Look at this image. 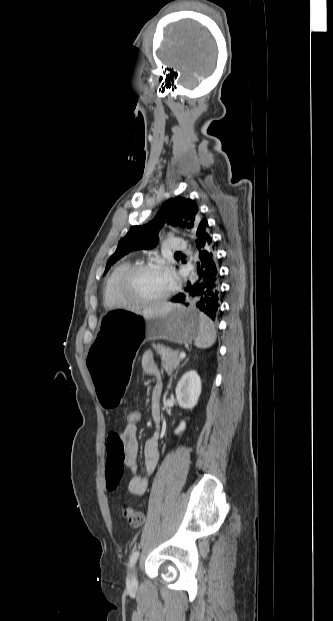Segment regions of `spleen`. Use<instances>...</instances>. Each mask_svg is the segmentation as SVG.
I'll list each match as a JSON object with an SVG mask.
<instances>
[{"instance_id":"obj_1","label":"spleen","mask_w":333,"mask_h":621,"mask_svg":"<svg viewBox=\"0 0 333 621\" xmlns=\"http://www.w3.org/2000/svg\"><path fill=\"white\" fill-rule=\"evenodd\" d=\"M216 340V330L212 320L204 313H199V331L195 339V346L206 349L211 347Z\"/></svg>"}]
</instances>
